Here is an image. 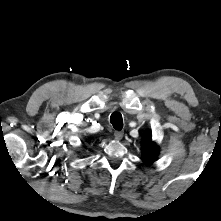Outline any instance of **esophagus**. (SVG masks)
I'll use <instances>...</instances> for the list:
<instances>
[{
	"label": "esophagus",
	"mask_w": 221,
	"mask_h": 221,
	"mask_svg": "<svg viewBox=\"0 0 221 221\" xmlns=\"http://www.w3.org/2000/svg\"><path fill=\"white\" fill-rule=\"evenodd\" d=\"M124 132L123 131H115L114 136L117 140H121L123 138Z\"/></svg>",
	"instance_id": "obj_1"
}]
</instances>
